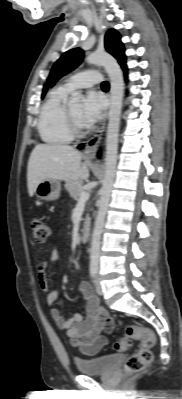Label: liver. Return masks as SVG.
I'll return each instance as SVG.
<instances>
[{
    "mask_svg": "<svg viewBox=\"0 0 182 399\" xmlns=\"http://www.w3.org/2000/svg\"><path fill=\"white\" fill-rule=\"evenodd\" d=\"M82 154L74 147L38 144L32 150L27 167V185L33 196L37 185L46 179L76 181L89 177L88 163H81Z\"/></svg>",
    "mask_w": 182,
    "mask_h": 399,
    "instance_id": "obj_1",
    "label": "liver"
}]
</instances>
